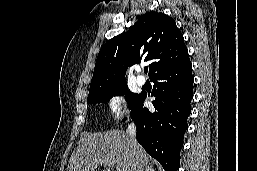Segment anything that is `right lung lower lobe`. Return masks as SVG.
Returning <instances> with one entry per match:
<instances>
[{"label":"right lung lower lobe","instance_id":"obj_1","mask_svg":"<svg viewBox=\"0 0 257 171\" xmlns=\"http://www.w3.org/2000/svg\"><path fill=\"white\" fill-rule=\"evenodd\" d=\"M151 80L154 82L152 96L156 97L152 102L155 111L143 106L144 94H140L131 108V117L137 125L136 138L165 171H177L193 98L190 59L156 73Z\"/></svg>","mask_w":257,"mask_h":171}]
</instances>
